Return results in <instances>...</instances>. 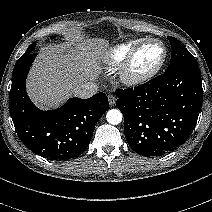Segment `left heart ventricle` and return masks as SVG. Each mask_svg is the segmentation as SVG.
Returning a JSON list of instances; mask_svg holds the SVG:
<instances>
[{"label": "left heart ventricle", "mask_w": 212, "mask_h": 212, "mask_svg": "<svg viewBox=\"0 0 212 212\" xmlns=\"http://www.w3.org/2000/svg\"><path fill=\"white\" fill-rule=\"evenodd\" d=\"M162 56V48L158 44H150L143 48L135 60V70L145 71L158 63Z\"/></svg>", "instance_id": "left-heart-ventricle-1"}]
</instances>
